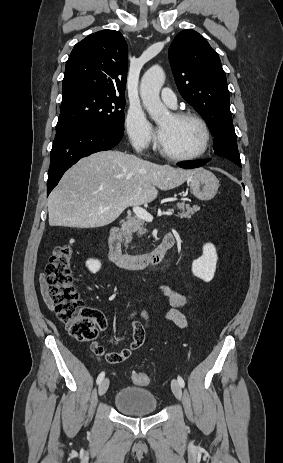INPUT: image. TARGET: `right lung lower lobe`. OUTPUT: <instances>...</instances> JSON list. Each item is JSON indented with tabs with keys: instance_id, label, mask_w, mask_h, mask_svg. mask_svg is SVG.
Returning <instances> with one entry per match:
<instances>
[{
	"instance_id": "obj_1",
	"label": "right lung lower lobe",
	"mask_w": 283,
	"mask_h": 463,
	"mask_svg": "<svg viewBox=\"0 0 283 463\" xmlns=\"http://www.w3.org/2000/svg\"><path fill=\"white\" fill-rule=\"evenodd\" d=\"M123 133L101 126L87 125L56 133L47 181V195L58 184L64 172L80 158L116 146Z\"/></svg>"
}]
</instances>
